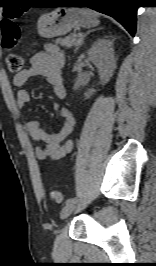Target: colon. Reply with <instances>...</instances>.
<instances>
[{
    "instance_id": "obj_1",
    "label": "colon",
    "mask_w": 156,
    "mask_h": 266,
    "mask_svg": "<svg viewBox=\"0 0 156 266\" xmlns=\"http://www.w3.org/2000/svg\"><path fill=\"white\" fill-rule=\"evenodd\" d=\"M20 14L21 12L13 14L9 18L4 19L2 22V45L6 49H11L20 42L21 30L15 22V19L19 17ZM6 63L9 71L13 73H20L24 65L22 56L14 53H11L7 56ZM50 195L57 203H62L64 201V196L59 191L53 190L51 191Z\"/></svg>"
}]
</instances>
